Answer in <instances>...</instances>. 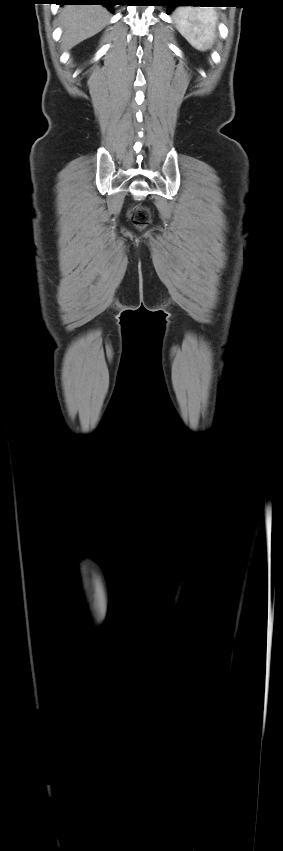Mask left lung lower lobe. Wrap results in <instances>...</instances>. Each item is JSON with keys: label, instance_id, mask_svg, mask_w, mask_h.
I'll list each match as a JSON object with an SVG mask.
<instances>
[{"label": "left lung lower lobe", "instance_id": "0a47b994", "mask_svg": "<svg viewBox=\"0 0 283 851\" xmlns=\"http://www.w3.org/2000/svg\"><path fill=\"white\" fill-rule=\"evenodd\" d=\"M221 2V0H166L164 3L169 7L168 13H170L177 6H212Z\"/></svg>", "mask_w": 283, "mask_h": 851}]
</instances>
